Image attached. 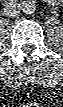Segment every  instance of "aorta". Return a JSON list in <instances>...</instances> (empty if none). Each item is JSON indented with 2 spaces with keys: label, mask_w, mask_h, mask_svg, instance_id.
<instances>
[{
  "label": "aorta",
  "mask_w": 63,
  "mask_h": 107,
  "mask_svg": "<svg viewBox=\"0 0 63 107\" xmlns=\"http://www.w3.org/2000/svg\"><path fill=\"white\" fill-rule=\"evenodd\" d=\"M21 9L26 14H32L36 10V4L33 0H25L22 2Z\"/></svg>",
  "instance_id": "aorta-1"
}]
</instances>
